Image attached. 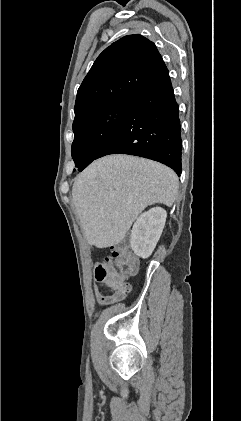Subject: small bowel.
Masks as SVG:
<instances>
[{"mask_svg":"<svg viewBox=\"0 0 241 421\" xmlns=\"http://www.w3.org/2000/svg\"><path fill=\"white\" fill-rule=\"evenodd\" d=\"M104 284L109 287L111 291L110 294H103L99 291L98 287L95 284L92 285V292L94 294V297L96 301L102 305L118 303L122 301L130 291V285L127 287H114L106 282H104Z\"/></svg>","mask_w":241,"mask_h":421,"instance_id":"obj_1","label":"small bowel"}]
</instances>
